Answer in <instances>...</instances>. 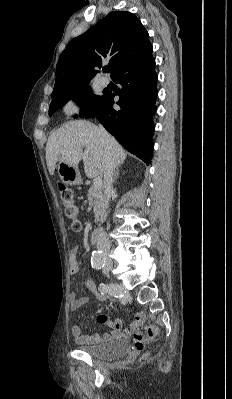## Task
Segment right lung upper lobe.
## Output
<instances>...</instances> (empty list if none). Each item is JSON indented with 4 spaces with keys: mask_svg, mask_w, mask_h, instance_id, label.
<instances>
[{
    "mask_svg": "<svg viewBox=\"0 0 232 399\" xmlns=\"http://www.w3.org/2000/svg\"><path fill=\"white\" fill-rule=\"evenodd\" d=\"M151 52L148 32L140 20L130 12L113 11L68 43L57 63L52 95L89 83L98 73L94 67L101 68L104 60H109L112 76L121 66Z\"/></svg>",
    "mask_w": 232,
    "mask_h": 399,
    "instance_id": "cb5924a9",
    "label": "right lung upper lobe"
}]
</instances>
